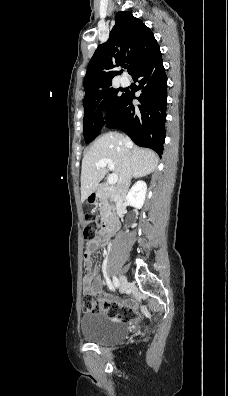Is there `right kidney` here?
Masks as SVG:
<instances>
[{
    "label": "right kidney",
    "mask_w": 228,
    "mask_h": 396,
    "mask_svg": "<svg viewBox=\"0 0 228 396\" xmlns=\"http://www.w3.org/2000/svg\"><path fill=\"white\" fill-rule=\"evenodd\" d=\"M146 192L147 184L142 180L136 182L126 196L127 203L136 209H141L145 201Z\"/></svg>",
    "instance_id": "right-kidney-1"
}]
</instances>
